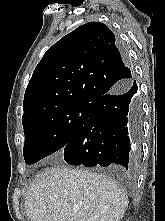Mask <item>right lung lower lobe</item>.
Masks as SVG:
<instances>
[{"label":"right lung lower lobe","mask_w":165,"mask_h":221,"mask_svg":"<svg viewBox=\"0 0 165 221\" xmlns=\"http://www.w3.org/2000/svg\"><path fill=\"white\" fill-rule=\"evenodd\" d=\"M137 90L133 79L93 101L88 120L63 148L68 164L134 170L142 133Z\"/></svg>","instance_id":"right-lung-lower-lobe-1"}]
</instances>
